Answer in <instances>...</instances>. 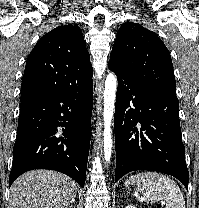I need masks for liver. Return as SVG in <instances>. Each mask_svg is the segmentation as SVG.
Instances as JSON below:
<instances>
[{
    "label": "liver",
    "instance_id": "6515ba94",
    "mask_svg": "<svg viewBox=\"0 0 199 208\" xmlns=\"http://www.w3.org/2000/svg\"><path fill=\"white\" fill-rule=\"evenodd\" d=\"M77 191L76 182L62 173L28 171L10 188V208H68Z\"/></svg>",
    "mask_w": 199,
    "mask_h": 208
}]
</instances>
